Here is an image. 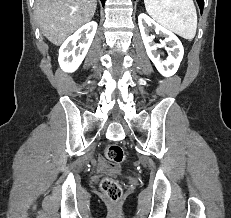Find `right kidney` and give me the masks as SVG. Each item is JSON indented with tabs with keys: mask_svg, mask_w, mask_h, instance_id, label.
Segmentation results:
<instances>
[{
	"mask_svg": "<svg viewBox=\"0 0 231 218\" xmlns=\"http://www.w3.org/2000/svg\"><path fill=\"white\" fill-rule=\"evenodd\" d=\"M97 30L91 21L71 35L60 47L58 62L64 72H74L84 60ZM80 41V42H79ZM77 42L78 45H77Z\"/></svg>",
	"mask_w": 231,
	"mask_h": 218,
	"instance_id": "1",
	"label": "right kidney"
}]
</instances>
